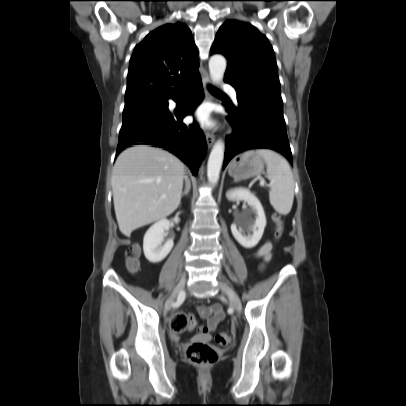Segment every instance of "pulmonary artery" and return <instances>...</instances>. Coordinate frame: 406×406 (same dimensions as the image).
I'll list each match as a JSON object with an SVG mask.
<instances>
[{
	"label": "pulmonary artery",
	"mask_w": 406,
	"mask_h": 406,
	"mask_svg": "<svg viewBox=\"0 0 406 406\" xmlns=\"http://www.w3.org/2000/svg\"><path fill=\"white\" fill-rule=\"evenodd\" d=\"M223 88L228 91L232 97V99L237 102V92L236 90L228 84H224Z\"/></svg>",
	"instance_id": "1"
}]
</instances>
